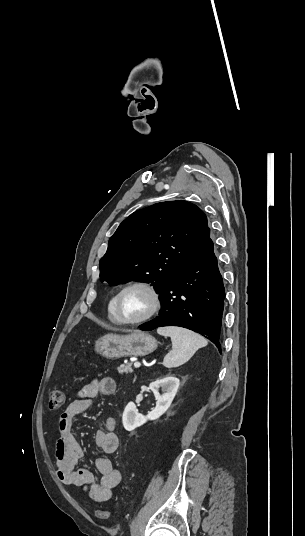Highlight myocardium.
<instances>
[{"instance_id": "1", "label": "myocardium", "mask_w": 305, "mask_h": 536, "mask_svg": "<svg viewBox=\"0 0 305 536\" xmlns=\"http://www.w3.org/2000/svg\"><path fill=\"white\" fill-rule=\"evenodd\" d=\"M132 287H141L144 288L151 296L152 305L148 313L140 319L137 320H124L121 317V297L123 293ZM162 307V296L155 284L147 280H133L125 285H123L119 291L116 293L114 298V315L117 319L119 325L124 327H137L145 324L150 321L161 309Z\"/></svg>"}]
</instances>
